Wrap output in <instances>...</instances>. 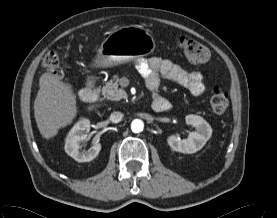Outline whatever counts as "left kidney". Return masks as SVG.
Wrapping results in <instances>:
<instances>
[{"label":"left kidney","mask_w":277,"mask_h":218,"mask_svg":"<svg viewBox=\"0 0 277 218\" xmlns=\"http://www.w3.org/2000/svg\"><path fill=\"white\" fill-rule=\"evenodd\" d=\"M187 125L195 128L194 132H190L187 139H180L176 135L168 137L167 142L173 151L192 154L206 144L212 135V128L209 123L201 116L189 114L185 117Z\"/></svg>","instance_id":"left-kidney-1"}]
</instances>
